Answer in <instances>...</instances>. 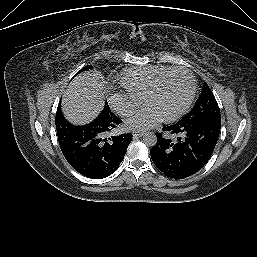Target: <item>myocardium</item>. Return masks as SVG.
Segmentation results:
<instances>
[{
	"label": "myocardium",
	"mask_w": 257,
	"mask_h": 257,
	"mask_svg": "<svg viewBox=\"0 0 257 257\" xmlns=\"http://www.w3.org/2000/svg\"><path fill=\"white\" fill-rule=\"evenodd\" d=\"M175 73H184V74L188 75V77L190 79V90H189V93H188V96H187L185 102L178 110H176L175 112H173L169 115L163 116V120L166 122L173 121V120L177 119L178 117H180L182 114H184L188 110V108L192 104L195 93H196V79H195L193 72L189 68L184 67V66L170 67L155 79V81L149 87V89L147 90V92L144 96V103L147 104L148 100L157 92V90L160 88V86L166 80V78Z\"/></svg>",
	"instance_id": "obj_1"
}]
</instances>
